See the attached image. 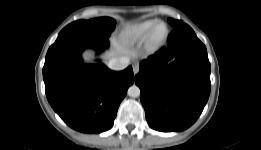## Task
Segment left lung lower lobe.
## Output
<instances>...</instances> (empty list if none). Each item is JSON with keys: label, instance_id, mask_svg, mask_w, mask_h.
<instances>
[{"label": "left lung lower lobe", "instance_id": "left-lung-lower-lobe-1", "mask_svg": "<svg viewBox=\"0 0 261 150\" xmlns=\"http://www.w3.org/2000/svg\"><path fill=\"white\" fill-rule=\"evenodd\" d=\"M210 71L206 47L194 31L186 24L174 28L168 47L143 60L135 76L148 125L163 132L190 127L209 98Z\"/></svg>", "mask_w": 261, "mask_h": 150}]
</instances>
